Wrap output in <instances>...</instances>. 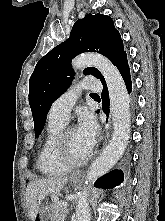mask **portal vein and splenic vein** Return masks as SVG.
<instances>
[{
    "instance_id": "obj_1",
    "label": "portal vein and splenic vein",
    "mask_w": 165,
    "mask_h": 221,
    "mask_svg": "<svg viewBox=\"0 0 165 221\" xmlns=\"http://www.w3.org/2000/svg\"><path fill=\"white\" fill-rule=\"evenodd\" d=\"M62 204H63V206H65V207L68 206V203H67V202H63Z\"/></svg>"
}]
</instances>
